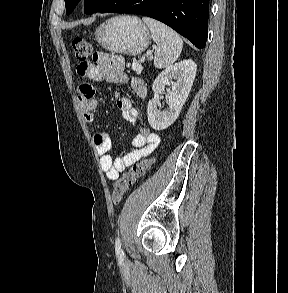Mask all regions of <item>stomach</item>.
Returning a JSON list of instances; mask_svg holds the SVG:
<instances>
[{
    "label": "stomach",
    "mask_w": 288,
    "mask_h": 293,
    "mask_svg": "<svg viewBox=\"0 0 288 293\" xmlns=\"http://www.w3.org/2000/svg\"><path fill=\"white\" fill-rule=\"evenodd\" d=\"M95 38L108 51L136 56L147 49L151 36L138 17L120 15L102 23Z\"/></svg>",
    "instance_id": "obj_1"
}]
</instances>
